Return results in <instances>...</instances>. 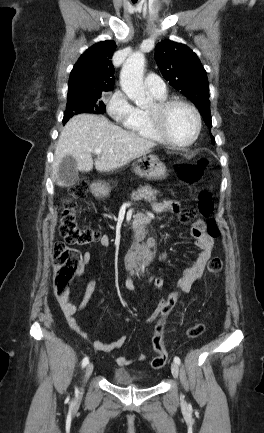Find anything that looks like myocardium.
<instances>
[{"label": "myocardium", "mask_w": 264, "mask_h": 433, "mask_svg": "<svg viewBox=\"0 0 264 433\" xmlns=\"http://www.w3.org/2000/svg\"><path fill=\"white\" fill-rule=\"evenodd\" d=\"M175 106H184L188 108L194 115L196 122V129L193 136L186 142H177L173 140L167 131V115L169 111ZM148 114L152 123V126L160 139L173 147L176 148H187L192 146L199 138L202 130V118L198 109L190 102L180 98H170L162 101H157L148 110Z\"/></svg>", "instance_id": "1"}]
</instances>
